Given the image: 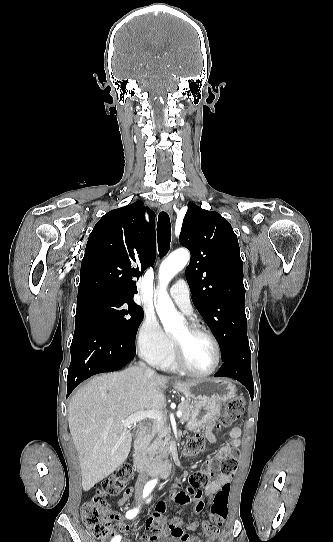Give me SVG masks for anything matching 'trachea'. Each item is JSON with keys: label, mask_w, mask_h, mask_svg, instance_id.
<instances>
[{"label": "trachea", "mask_w": 333, "mask_h": 542, "mask_svg": "<svg viewBox=\"0 0 333 542\" xmlns=\"http://www.w3.org/2000/svg\"><path fill=\"white\" fill-rule=\"evenodd\" d=\"M157 242L159 255H166L171 242V224L169 215L166 212H160L158 215Z\"/></svg>", "instance_id": "3493384b"}]
</instances>
